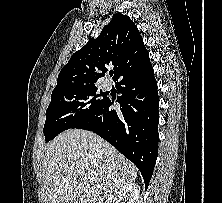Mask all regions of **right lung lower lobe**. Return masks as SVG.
I'll return each instance as SVG.
<instances>
[{"label":"right lung lower lobe","instance_id":"98d812e1","mask_svg":"<svg viewBox=\"0 0 222 203\" xmlns=\"http://www.w3.org/2000/svg\"><path fill=\"white\" fill-rule=\"evenodd\" d=\"M120 110L106 99L71 128L92 131L118 149L140 170L147 189L158 154L159 97L150 60L116 80Z\"/></svg>","mask_w":222,"mask_h":203}]
</instances>
